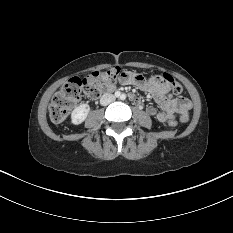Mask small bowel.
<instances>
[{"instance_id": "1", "label": "small bowel", "mask_w": 233, "mask_h": 233, "mask_svg": "<svg viewBox=\"0 0 233 233\" xmlns=\"http://www.w3.org/2000/svg\"><path fill=\"white\" fill-rule=\"evenodd\" d=\"M118 80L122 85H134L153 96L161 111L154 107H147L146 112L159 122L165 123L176 117L182 122L187 121L191 109L190 100L185 97H173L168 85L160 79L145 80L142 73L135 74L127 70L118 75Z\"/></svg>"}]
</instances>
